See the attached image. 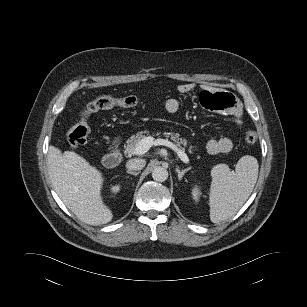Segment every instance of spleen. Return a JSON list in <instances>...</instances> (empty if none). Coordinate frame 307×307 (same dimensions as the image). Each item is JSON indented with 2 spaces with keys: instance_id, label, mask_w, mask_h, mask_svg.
I'll list each match as a JSON object with an SVG mask.
<instances>
[{
  "instance_id": "1",
  "label": "spleen",
  "mask_w": 307,
  "mask_h": 307,
  "mask_svg": "<svg viewBox=\"0 0 307 307\" xmlns=\"http://www.w3.org/2000/svg\"><path fill=\"white\" fill-rule=\"evenodd\" d=\"M258 171V161L250 155L239 159L235 171H230L225 164L212 169L209 205L210 220L213 223H219L237 213L252 193Z\"/></svg>"
}]
</instances>
